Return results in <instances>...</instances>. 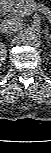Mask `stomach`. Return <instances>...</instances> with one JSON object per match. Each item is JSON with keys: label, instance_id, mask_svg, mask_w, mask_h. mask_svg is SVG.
Instances as JSON below:
<instances>
[{"label": "stomach", "instance_id": "1", "mask_svg": "<svg viewBox=\"0 0 51 153\" xmlns=\"http://www.w3.org/2000/svg\"><path fill=\"white\" fill-rule=\"evenodd\" d=\"M10 2H21L23 0H9Z\"/></svg>", "mask_w": 51, "mask_h": 153}]
</instances>
